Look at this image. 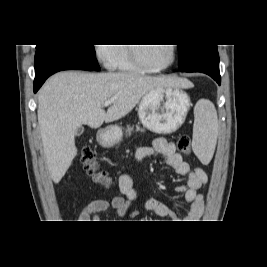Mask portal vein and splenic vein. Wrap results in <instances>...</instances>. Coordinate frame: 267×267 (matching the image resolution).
<instances>
[{
  "label": "portal vein and splenic vein",
  "mask_w": 267,
  "mask_h": 267,
  "mask_svg": "<svg viewBox=\"0 0 267 267\" xmlns=\"http://www.w3.org/2000/svg\"><path fill=\"white\" fill-rule=\"evenodd\" d=\"M112 104V101H106L105 103H104V106L105 107H108L109 105H111Z\"/></svg>",
  "instance_id": "obj_1"
}]
</instances>
